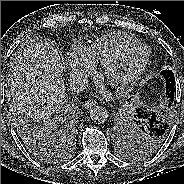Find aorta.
<instances>
[{
  "instance_id": "aorta-1",
  "label": "aorta",
  "mask_w": 184,
  "mask_h": 184,
  "mask_svg": "<svg viewBox=\"0 0 184 184\" xmlns=\"http://www.w3.org/2000/svg\"><path fill=\"white\" fill-rule=\"evenodd\" d=\"M109 117L108 111L105 107L94 106L90 110V118L96 124H103Z\"/></svg>"
}]
</instances>
